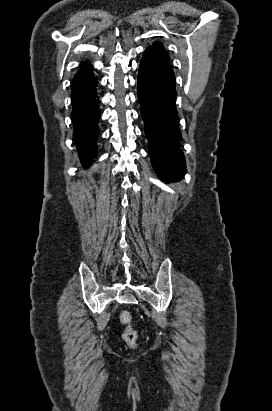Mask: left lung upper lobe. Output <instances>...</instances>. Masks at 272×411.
Here are the masks:
<instances>
[{
	"label": "left lung upper lobe",
	"mask_w": 272,
	"mask_h": 411,
	"mask_svg": "<svg viewBox=\"0 0 272 411\" xmlns=\"http://www.w3.org/2000/svg\"><path fill=\"white\" fill-rule=\"evenodd\" d=\"M148 48H152L153 50H155L156 52H158L159 54H161L163 57H165L166 59L170 60L168 53L166 52V50L164 49V46L162 45V43L160 42H154L152 46H149Z\"/></svg>",
	"instance_id": "1"
}]
</instances>
